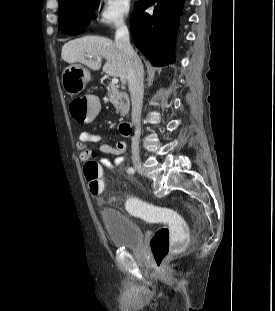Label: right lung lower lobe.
I'll return each mask as SVG.
<instances>
[{
  "instance_id": "98d812e1",
  "label": "right lung lower lobe",
  "mask_w": 275,
  "mask_h": 311,
  "mask_svg": "<svg viewBox=\"0 0 275 311\" xmlns=\"http://www.w3.org/2000/svg\"><path fill=\"white\" fill-rule=\"evenodd\" d=\"M153 14L145 12L150 5L147 0L139 1L130 19L131 33L137 48L159 67L173 63V45L179 25V16L185 0H157ZM78 28L75 35L83 33Z\"/></svg>"
}]
</instances>
